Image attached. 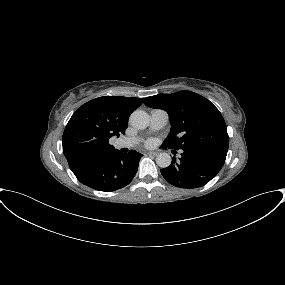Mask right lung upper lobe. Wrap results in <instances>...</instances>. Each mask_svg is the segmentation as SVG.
I'll return each instance as SVG.
<instances>
[{
	"label": "right lung upper lobe",
	"mask_w": 285,
	"mask_h": 285,
	"mask_svg": "<svg viewBox=\"0 0 285 285\" xmlns=\"http://www.w3.org/2000/svg\"><path fill=\"white\" fill-rule=\"evenodd\" d=\"M143 102V98L103 96L78 108L63 133V153L70 169L114 150L109 144L112 136L124 134L130 114Z\"/></svg>",
	"instance_id": "cb5924a9"
}]
</instances>
